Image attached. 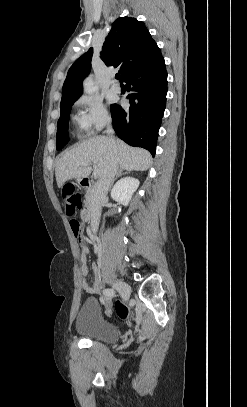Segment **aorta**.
Instances as JSON below:
<instances>
[{"mask_svg":"<svg viewBox=\"0 0 247 407\" xmlns=\"http://www.w3.org/2000/svg\"><path fill=\"white\" fill-rule=\"evenodd\" d=\"M97 91V86L95 85V82L93 78L90 76L84 81V92L86 94H93Z\"/></svg>","mask_w":247,"mask_h":407,"instance_id":"1","label":"aorta"}]
</instances>
